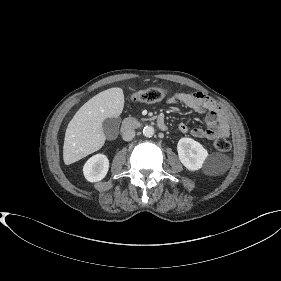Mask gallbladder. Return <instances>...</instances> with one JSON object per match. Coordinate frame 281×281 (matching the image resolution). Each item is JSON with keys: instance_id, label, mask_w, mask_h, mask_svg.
<instances>
[{"instance_id": "bac80fb5", "label": "gallbladder", "mask_w": 281, "mask_h": 281, "mask_svg": "<svg viewBox=\"0 0 281 281\" xmlns=\"http://www.w3.org/2000/svg\"><path fill=\"white\" fill-rule=\"evenodd\" d=\"M120 119L107 118L103 121V132L108 139H113L118 134Z\"/></svg>"}]
</instances>
